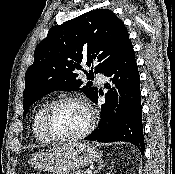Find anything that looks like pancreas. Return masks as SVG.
Here are the masks:
<instances>
[{
    "mask_svg": "<svg viewBox=\"0 0 175 174\" xmlns=\"http://www.w3.org/2000/svg\"><path fill=\"white\" fill-rule=\"evenodd\" d=\"M74 174H86L85 172L81 171V170H78L76 171Z\"/></svg>",
    "mask_w": 175,
    "mask_h": 174,
    "instance_id": "cf45deb5",
    "label": "pancreas"
}]
</instances>
